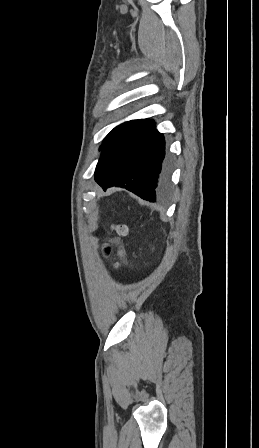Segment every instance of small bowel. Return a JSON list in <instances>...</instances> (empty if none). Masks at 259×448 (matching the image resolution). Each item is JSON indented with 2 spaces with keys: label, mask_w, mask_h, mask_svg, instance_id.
<instances>
[{
  "label": "small bowel",
  "mask_w": 259,
  "mask_h": 448,
  "mask_svg": "<svg viewBox=\"0 0 259 448\" xmlns=\"http://www.w3.org/2000/svg\"><path fill=\"white\" fill-rule=\"evenodd\" d=\"M119 256L123 258L125 256V252L123 250H120L119 251Z\"/></svg>",
  "instance_id": "obj_1"
}]
</instances>
